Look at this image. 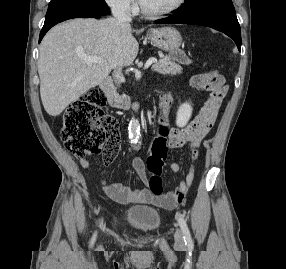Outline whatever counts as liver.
Returning a JSON list of instances; mask_svg holds the SVG:
<instances>
[{
    "instance_id": "liver-1",
    "label": "liver",
    "mask_w": 286,
    "mask_h": 269,
    "mask_svg": "<svg viewBox=\"0 0 286 269\" xmlns=\"http://www.w3.org/2000/svg\"><path fill=\"white\" fill-rule=\"evenodd\" d=\"M139 45L129 23L115 18H76L53 27L40 45V95L50 116H58L72 102L110 74L135 60ZM82 55L102 62L86 63Z\"/></svg>"
}]
</instances>
